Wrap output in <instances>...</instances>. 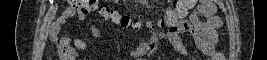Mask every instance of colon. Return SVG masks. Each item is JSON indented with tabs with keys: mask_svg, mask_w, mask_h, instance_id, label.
<instances>
[{
	"mask_svg": "<svg viewBox=\"0 0 267 60\" xmlns=\"http://www.w3.org/2000/svg\"><path fill=\"white\" fill-rule=\"evenodd\" d=\"M73 2L78 6L79 11L85 15L96 14L103 19L109 20L121 26H129L132 24L128 16L121 14L119 11L100 0H75ZM189 5L190 0L175 1L173 7L165 12L161 20L162 25H176L179 19L186 13Z\"/></svg>",
	"mask_w": 267,
	"mask_h": 60,
	"instance_id": "colon-1",
	"label": "colon"
}]
</instances>
